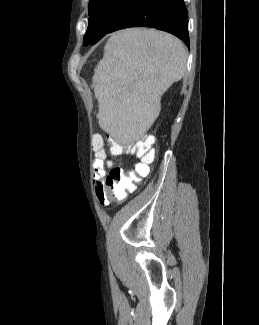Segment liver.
Wrapping results in <instances>:
<instances>
[{"instance_id":"6515ba94","label":"liver","mask_w":259,"mask_h":325,"mask_svg":"<svg viewBox=\"0 0 259 325\" xmlns=\"http://www.w3.org/2000/svg\"><path fill=\"white\" fill-rule=\"evenodd\" d=\"M182 41L154 29L111 35L92 79L100 128L116 142L141 140L161 111V96L186 74Z\"/></svg>"}]
</instances>
